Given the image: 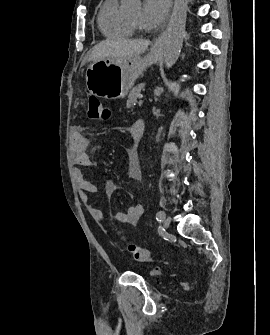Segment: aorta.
Instances as JSON below:
<instances>
[{"instance_id": "762f6f07", "label": "aorta", "mask_w": 270, "mask_h": 335, "mask_svg": "<svg viewBox=\"0 0 270 335\" xmlns=\"http://www.w3.org/2000/svg\"><path fill=\"white\" fill-rule=\"evenodd\" d=\"M189 0H175L168 30L165 32L164 62L171 68L179 58L185 34Z\"/></svg>"}]
</instances>
